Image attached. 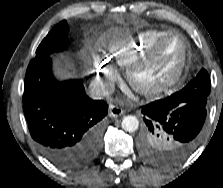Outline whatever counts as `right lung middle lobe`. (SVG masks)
<instances>
[{"label": "right lung middle lobe", "mask_w": 223, "mask_h": 188, "mask_svg": "<svg viewBox=\"0 0 223 188\" xmlns=\"http://www.w3.org/2000/svg\"><path fill=\"white\" fill-rule=\"evenodd\" d=\"M67 32V22L61 21L48 33L38 46L34 59L49 56L53 52L64 50L67 45Z\"/></svg>", "instance_id": "obj_1"}]
</instances>
